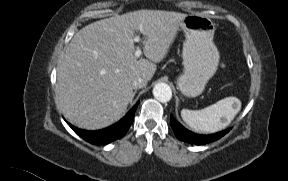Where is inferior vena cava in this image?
<instances>
[{"label": "inferior vena cava", "instance_id": "inferior-vena-cava-1", "mask_svg": "<svg viewBox=\"0 0 288 181\" xmlns=\"http://www.w3.org/2000/svg\"><path fill=\"white\" fill-rule=\"evenodd\" d=\"M147 85V81L142 77H137L133 80L132 87L133 89L143 88Z\"/></svg>", "mask_w": 288, "mask_h": 181}]
</instances>
